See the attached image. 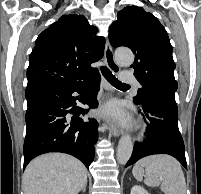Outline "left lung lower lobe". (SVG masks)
<instances>
[{
  "instance_id": "1",
  "label": "left lung lower lobe",
  "mask_w": 201,
  "mask_h": 194,
  "mask_svg": "<svg viewBox=\"0 0 201 194\" xmlns=\"http://www.w3.org/2000/svg\"><path fill=\"white\" fill-rule=\"evenodd\" d=\"M139 106V114L145 120L148 137L143 142H136L130 166L139 159L153 154H169L187 168L184 142L178 129V108L175 98L165 94L151 95Z\"/></svg>"
}]
</instances>
